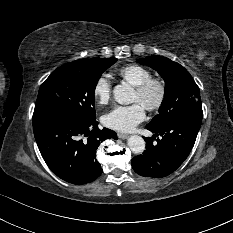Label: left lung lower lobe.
<instances>
[{
    "label": "left lung lower lobe",
    "mask_w": 233,
    "mask_h": 233,
    "mask_svg": "<svg viewBox=\"0 0 233 233\" xmlns=\"http://www.w3.org/2000/svg\"><path fill=\"white\" fill-rule=\"evenodd\" d=\"M202 114V108H196L160 128L146 126L155 134L144 138L146 150L132 159L134 171L141 176L161 178L178 169L194 146ZM158 136L161 138L156 139Z\"/></svg>",
    "instance_id": "1"
}]
</instances>
